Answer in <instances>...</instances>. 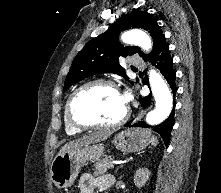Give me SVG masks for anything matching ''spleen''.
I'll use <instances>...</instances> for the list:
<instances>
[{"label":"spleen","mask_w":221,"mask_h":193,"mask_svg":"<svg viewBox=\"0 0 221 193\" xmlns=\"http://www.w3.org/2000/svg\"><path fill=\"white\" fill-rule=\"evenodd\" d=\"M151 144L154 145V146H156V145L158 144V139H157L156 136H152V138H151Z\"/></svg>","instance_id":"3e777b00"}]
</instances>
